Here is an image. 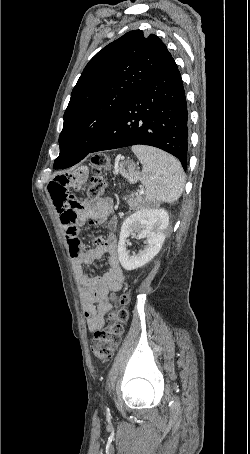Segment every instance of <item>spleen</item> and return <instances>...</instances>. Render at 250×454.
Here are the masks:
<instances>
[{
	"instance_id": "1",
	"label": "spleen",
	"mask_w": 250,
	"mask_h": 454,
	"mask_svg": "<svg viewBox=\"0 0 250 454\" xmlns=\"http://www.w3.org/2000/svg\"><path fill=\"white\" fill-rule=\"evenodd\" d=\"M132 151L143 166L140 181L146 188V200L155 205L177 201L185 185L180 162L149 146L135 145Z\"/></svg>"
}]
</instances>
